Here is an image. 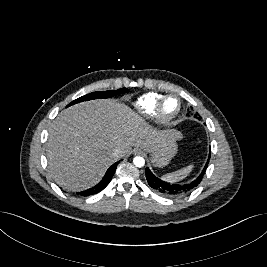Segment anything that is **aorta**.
<instances>
[{
	"label": "aorta",
	"instance_id": "762f6f07",
	"mask_svg": "<svg viewBox=\"0 0 267 267\" xmlns=\"http://www.w3.org/2000/svg\"><path fill=\"white\" fill-rule=\"evenodd\" d=\"M133 163L136 167H143L145 165V160L141 156H136L133 159Z\"/></svg>",
	"mask_w": 267,
	"mask_h": 267
}]
</instances>
